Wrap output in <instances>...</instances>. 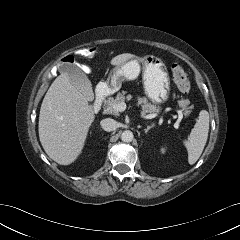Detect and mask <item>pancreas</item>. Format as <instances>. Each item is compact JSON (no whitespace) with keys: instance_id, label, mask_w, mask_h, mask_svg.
<instances>
[{"instance_id":"cf45deb5","label":"pancreas","mask_w":240,"mask_h":240,"mask_svg":"<svg viewBox=\"0 0 240 240\" xmlns=\"http://www.w3.org/2000/svg\"><path fill=\"white\" fill-rule=\"evenodd\" d=\"M132 95L128 94L126 95L125 91H122L121 93L119 92L115 98L113 97H108L105 101H104V108L106 113L108 114H112V115H118L119 111H117L114 106L124 102L125 100L129 101L132 99ZM137 106H141V113L143 115L145 114H154L157 115L160 112V107H157L154 104L148 103L146 98H142V97H137ZM189 105V101L186 99H181L179 101V106L183 108V110H185V115L190 114L191 110L190 107H188Z\"/></svg>"}]
</instances>
